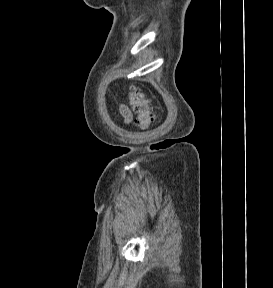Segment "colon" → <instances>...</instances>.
<instances>
[{
    "label": "colon",
    "instance_id": "5ec220e1",
    "mask_svg": "<svg viewBox=\"0 0 273 288\" xmlns=\"http://www.w3.org/2000/svg\"><path fill=\"white\" fill-rule=\"evenodd\" d=\"M129 102L137 118L139 128L147 129L152 122V110L149 99L140 91L132 88L129 92Z\"/></svg>",
    "mask_w": 273,
    "mask_h": 288
}]
</instances>
